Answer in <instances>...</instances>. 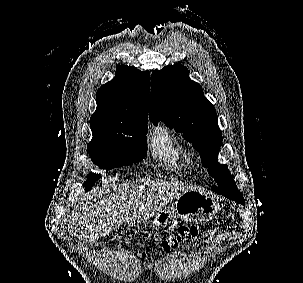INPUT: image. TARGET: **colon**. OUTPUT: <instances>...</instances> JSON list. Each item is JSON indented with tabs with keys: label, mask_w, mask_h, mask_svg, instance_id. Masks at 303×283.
Returning <instances> with one entry per match:
<instances>
[{
	"label": "colon",
	"mask_w": 303,
	"mask_h": 283,
	"mask_svg": "<svg viewBox=\"0 0 303 283\" xmlns=\"http://www.w3.org/2000/svg\"><path fill=\"white\" fill-rule=\"evenodd\" d=\"M198 235L197 231L193 227H182L179 232L166 239L163 240L157 247L156 251L159 253L169 252L172 249L177 248L184 239H193Z\"/></svg>",
	"instance_id": "colon-1"
}]
</instances>
